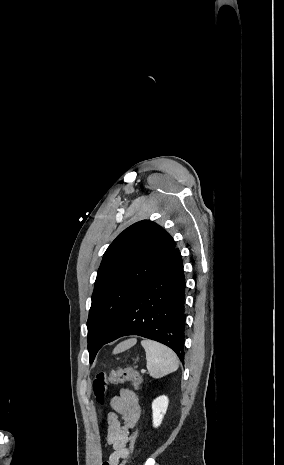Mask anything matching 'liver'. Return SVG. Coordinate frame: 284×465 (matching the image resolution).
<instances>
[{"label":"liver","mask_w":284,"mask_h":465,"mask_svg":"<svg viewBox=\"0 0 284 465\" xmlns=\"http://www.w3.org/2000/svg\"><path fill=\"white\" fill-rule=\"evenodd\" d=\"M137 339H127V341H123V343H119L117 347H115L113 351V355H117V353H123V351H127V349H131L136 345Z\"/></svg>","instance_id":"obj_1"}]
</instances>
